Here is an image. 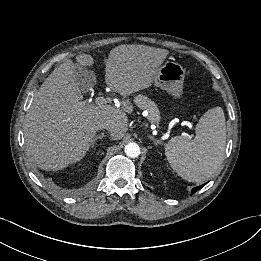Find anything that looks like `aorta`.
<instances>
[{
    "instance_id": "obj_1",
    "label": "aorta",
    "mask_w": 261,
    "mask_h": 261,
    "mask_svg": "<svg viewBox=\"0 0 261 261\" xmlns=\"http://www.w3.org/2000/svg\"><path fill=\"white\" fill-rule=\"evenodd\" d=\"M125 154L130 158H136L140 155V147L137 143L130 142L125 146Z\"/></svg>"
}]
</instances>
